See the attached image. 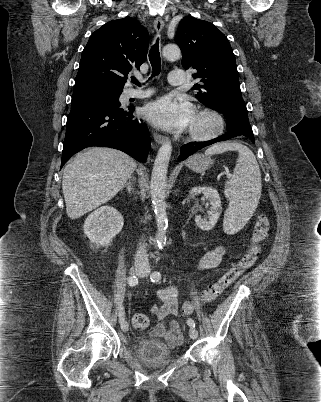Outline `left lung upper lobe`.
Here are the masks:
<instances>
[{
  "mask_svg": "<svg viewBox=\"0 0 321 402\" xmlns=\"http://www.w3.org/2000/svg\"><path fill=\"white\" fill-rule=\"evenodd\" d=\"M175 42L180 47L184 69L197 70L193 88L205 106L226 113L228 108L245 106L241 95L235 56L227 37L213 24L194 17L179 23Z\"/></svg>",
  "mask_w": 321,
  "mask_h": 402,
  "instance_id": "left-lung-upper-lobe-1",
  "label": "left lung upper lobe"
}]
</instances>
